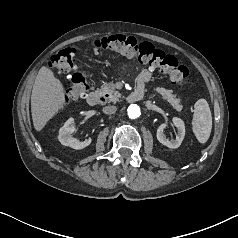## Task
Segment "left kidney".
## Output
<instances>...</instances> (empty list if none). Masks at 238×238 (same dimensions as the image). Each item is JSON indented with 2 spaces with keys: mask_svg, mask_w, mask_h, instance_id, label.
I'll list each match as a JSON object with an SVG mask.
<instances>
[{
  "mask_svg": "<svg viewBox=\"0 0 238 238\" xmlns=\"http://www.w3.org/2000/svg\"><path fill=\"white\" fill-rule=\"evenodd\" d=\"M172 123L177 128L176 138L173 140L167 139L166 135L164 134V129L167 127V123H163L157 129V139L163 145L175 149L181 145L184 139L185 126L184 122L178 117H174L172 119Z\"/></svg>",
  "mask_w": 238,
  "mask_h": 238,
  "instance_id": "left-kidney-1",
  "label": "left kidney"
}]
</instances>
